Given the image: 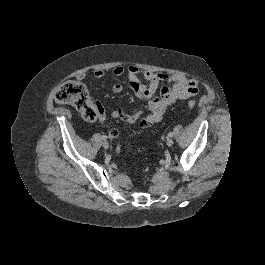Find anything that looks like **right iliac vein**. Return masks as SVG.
<instances>
[{
  "label": "right iliac vein",
  "mask_w": 265,
  "mask_h": 265,
  "mask_svg": "<svg viewBox=\"0 0 265 265\" xmlns=\"http://www.w3.org/2000/svg\"><path fill=\"white\" fill-rule=\"evenodd\" d=\"M103 148L108 149L109 148V143L107 141L103 142Z\"/></svg>",
  "instance_id": "obj_1"
}]
</instances>
